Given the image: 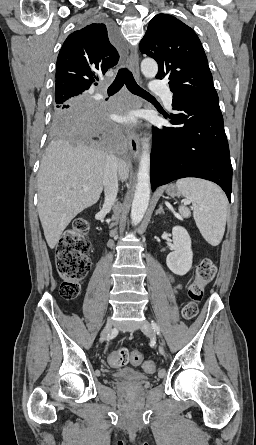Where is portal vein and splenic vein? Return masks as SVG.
<instances>
[{"label": "portal vein and splenic vein", "instance_id": "obj_1", "mask_svg": "<svg viewBox=\"0 0 256 445\" xmlns=\"http://www.w3.org/2000/svg\"><path fill=\"white\" fill-rule=\"evenodd\" d=\"M84 191H87V188H84ZM185 204H189V202H185Z\"/></svg>", "mask_w": 256, "mask_h": 445}]
</instances>
